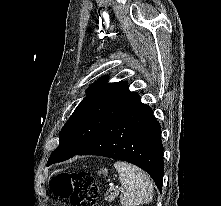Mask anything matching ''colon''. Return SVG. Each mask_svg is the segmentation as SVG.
<instances>
[{
	"mask_svg": "<svg viewBox=\"0 0 221 206\" xmlns=\"http://www.w3.org/2000/svg\"><path fill=\"white\" fill-rule=\"evenodd\" d=\"M52 192L69 199L72 206H94L98 186L92 174L84 171H67L57 174L50 182Z\"/></svg>",
	"mask_w": 221,
	"mask_h": 206,
	"instance_id": "5ec220e1",
	"label": "colon"
}]
</instances>
